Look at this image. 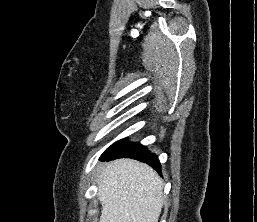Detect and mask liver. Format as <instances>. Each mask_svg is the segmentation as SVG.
Masks as SVG:
<instances>
[{"instance_id":"6515ba94","label":"liver","mask_w":257,"mask_h":222,"mask_svg":"<svg viewBox=\"0 0 257 222\" xmlns=\"http://www.w3.org/2000/svg\"><path fill=\"white\" fill-rule=\"evenodd\" d=\"M98 184L99 222H158L163 181L147 164L132 159L108 162Z\"/></svg>"}]
</instances>
